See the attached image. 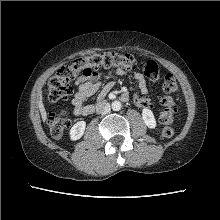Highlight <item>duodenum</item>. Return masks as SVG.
Instances as JSON below:
<instances>
[{"instance_id": "1", "label": "duodenum", "mask_w": 220, "mask_h": 220, "mask_svg": "<svg viewBox=\"0 0 220 220\" xmlns=\"http://www.w3.org/2000/svg\"><path fill=\"white\" fill-rule=\"evenodd\" d=\"M119 99L123 102H127L129 99V96L126 93H123L119 96ZM106 105H107V102L102 99V100L98 101L94 111H100V110L104 109L106 107Z\"/></svg>"}]
</instances>
